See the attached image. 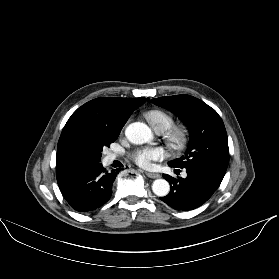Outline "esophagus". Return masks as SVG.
<instances>
[{"mask_svg":"<svg viewBox=\"0 0 279 279\" xmlns=\"http://www.w3.org/2000/svg\"><path fill=\"white\" fill-rule=\"evenodd\" d=\"M145 174H146L149 178H152V179H155V178H159V177H160V174H158V173L145 172Z\"/></svg>","mask_w":279,"mask_h":279,"instance_id":"1","label":"esophagus"}]
</instances>
